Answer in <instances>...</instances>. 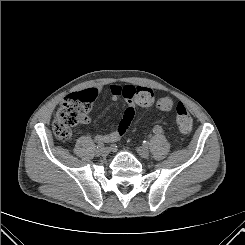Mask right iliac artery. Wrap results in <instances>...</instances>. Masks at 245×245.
<instances>
[{
  "mask_svg": "<svg viewBox=\"0 0 245 245\" xmlns=\"http://www.w3.org/2000/svg\"><path fill=\"white\" fill-rule=\"evenodd\" d=\"M107 146H108V145H107ZM107 146H105L103 142H99L98 145H97V147L99 148V150L102 149V151H103L104 153H107V152H108Z\"/></svg>",
  "mask_w": 245,
  "mask_h": 245,
  "instance_id": "obj_1",
  "label": "right iliac artery"
}]
</instances>
